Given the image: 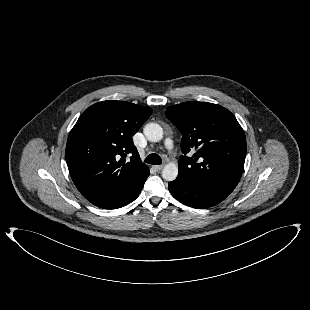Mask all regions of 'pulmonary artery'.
Wrapping results in <instances>:
<instances>
[{
	"instance_id": "obj_1",
	"label": "pulmonary artery",
	"mask_w": 310,
	"mask_h": 310,
	"mask_svg": "<svg viewBox=\"0 0 310 310\" xmlns=\"http://www.w3.org/2000/svg\"><path fill=\"white\" fill-rule=\"evenodd\" d=\"M165 147L168 149V150H171L173 148V141L171 139H167L165 141Z\"/></svg>"
}]
</instances>
